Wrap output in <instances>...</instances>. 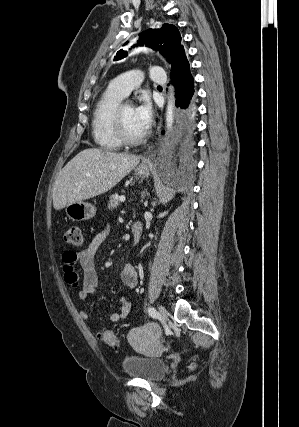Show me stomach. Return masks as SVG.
<instances>
[{"instance_id": "1", "label": "stomach", "mask_w": 299, "mask_h": 427, "mask_svg": "<svg viewBox=\"0 0 299 427\" xmlns=\"http://www.w3.org/2000/svg\"><path fill=\"white\" fill-rule=\"evenodd\" d=\"M149 171V166H139L135 169V175L140 178H145L149 175ZM65 212L72 221H85L95 216L96 208L90 203L80 201L67 205L65 207Z\"/></svg>"}]
</instances>
